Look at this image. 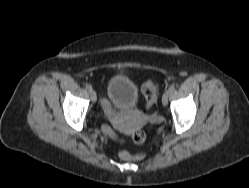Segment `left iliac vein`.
Masks as SVG:
<instances>
[{"label": "left iliac vein", "instance_id": "obj_1", "mask_svg": "<svg viewBox=\"0 0 249 188\" xmlns=\"http://www.w3.org/2000/svg\"><path fill=\"white\" fill-rule=\"evenodd\" d=\"M169 91H165L162 96V104L166 106L168 104Z\"/></svg>", "mask_w": 249, "mask_h": 188}]
</instances>
